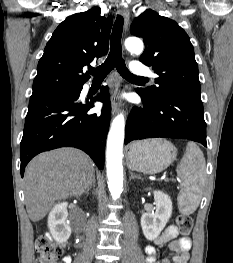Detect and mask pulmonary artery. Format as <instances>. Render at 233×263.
<instances>
[{
	"instance_id": "e3ab8cb5",
	"label": "pulmonary artery",
	"mask_w": 233,
	"mask_h": 263,
	"mask_svg": "<svg viewBox=\"0 0 233 263\" xmlns=\"http://www.w3.org/2000/svg\"><path fill=\"white\" fill-rule=\"evenodd\" d=\"M130 71L133 75L136 76H151V77H156L152 71L145 66L142 62L139 61H133L131 63Z\"/></svg>"
}]
</instances>
